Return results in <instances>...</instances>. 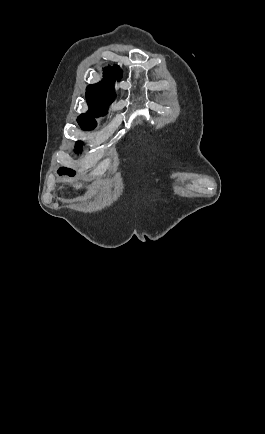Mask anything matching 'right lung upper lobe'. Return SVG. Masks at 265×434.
I'll list each match as a JSON object with an SVG mask.
<instances>
[{
    "label": "right lung upper lobe",
    "instance_id": "1",
    "mask_svg": "<svg viewBox=\"0 0 265 434\" xmlns=\"http://www.w3.org/2000/svg\"><path fill=\"white\" fill-rule=\"evenodd\" d=\"M104 72V81L99 82L98 84L89 85L86 89V95L101 97L112 102L115 97V94L112 91L114 89L112 85L113 80L119 79L122 71L119 69V66L114 65V67L109 66L108 68H105Z\"/></svg>",
    "mask_w": 265,
    "mask_h": 434
}]
</instances>
